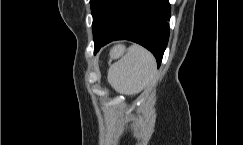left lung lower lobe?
Instances as JSON below:
<instances>
[{"instance_id": "1", "label": "left lung lower lobe", "mask_w": 243, "mask_h": 145, "mask_svg": "<svg viewBox=\"0 0 243 145\" xmlns=\"http://www.w3.org/2000/svg\"><path fill=\"white\" fill-rule=\"evenodd\" d=\"M168 0H128L107 30H93L94 53L113 40L136 42L155 56L158 66L169 38Z\"/></svg>"}]
</instances>
